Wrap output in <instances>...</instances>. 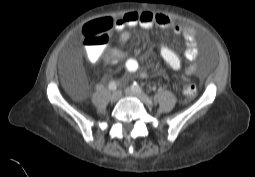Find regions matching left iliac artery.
<instances>
[{
  "instance_id": "44dca946",
  "label": "left iliac artery",
  "mask_w": 255,
  "mask_h": 177,
  "mask_svg": "<svg viewBox=\"0 0 255 177\" xmlns=\"http://www.w3.org/2000/svg\"><path fill=\"white\" fill-rule=\"evenodd\" d=\"M132 89L141 94L150 105L152 104V100L143 92L141 87L136 82L133 83Z\"/></svg>"
}]
</instances>
